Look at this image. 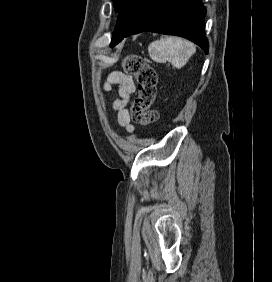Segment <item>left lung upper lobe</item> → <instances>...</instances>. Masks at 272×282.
Returning a JSON list of instances; mask_svg holds the SVG:
<instances>
[{
    "label": "left lung upper lobe",
    "instance_id": "left-lung-upper-lobe-1",
    "mask_svg": "<svg viewBox=\"0 0 272 282\" xmlns=\"http://www.w3.org/2000/svg\"><path fill=\"white\" fill-rule=\"evenodd\" d=\"M125 0H113L116 12L119 10Z\"/></svg>",
    "mask_w": 272,
    "mask_h": 282
}]
</instances>
